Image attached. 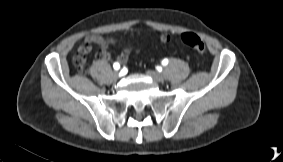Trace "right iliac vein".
<instances>
[{"instance_id":"obj_1","label":"right iliac vein","mask_w":283,"mask_h":162,"mask_svg":"<svg viewBox=\"0 0 283 162\" xmlns=\"http://www.w3.org/2000/svg\"><path fill=\"white\" fill-rule=\"evenodd\" d=\"M119 75L118 71H114V73L112 74V79H117Z\"/></svg>"}]
</instances>
